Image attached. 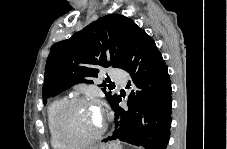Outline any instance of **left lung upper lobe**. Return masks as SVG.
I'll list each match as a JSON object with an SVG mask.
<instances>
[{
  "mask_svg": "<svg viewBox=\"0 0 227 149\" xmlns=\"http://www.w3.org/2000/svg\"><path fill=\"white\" fill-rule=\"evenodd\" d=\"M133 20L118 14L106 15L76 32L71 38L54 44L46 61L43 101L78 83L91 84L99 67L123 69L134 31ZM108 80V79H107ZM112 105L117 94L99 85ZM108 86V85H107Z\"/></svg>",
  "mask_w": 227,
  "mask_h": 149,
  "instance_id": "obj_1",
  "label": "left lung upper lobe"
}]
</instances>
